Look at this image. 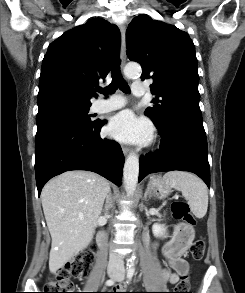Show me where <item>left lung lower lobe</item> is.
<instances>
[{"mask_svg":"<svg viewBox=\"0 0 245 293\" xmlns=\"http://www.w3.org/2000/svg\"><path fill=\"white\" fill-rule=\"evenodd\" d=\"M155 125L163 141L158 151L140 157L139 182L150 173L181 170L195 173L210 187L208 148L202 120L171 115Z\"/></svg>","mask_w":245,"mask_h":293,"instance_id":"obj_1","label":"left lung lower lobe"}]
</instances>
